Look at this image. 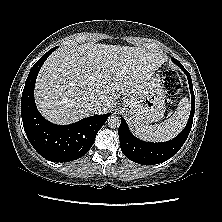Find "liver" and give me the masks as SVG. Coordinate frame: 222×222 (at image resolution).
Instances as JSON below:
<instances>
[{"label": "liver", "mask_w": 222, "mask_h": 222, "mask_svg": "<svg viewBox=\"0 0 222 222\" xmlns=\"http://www.w3.org/2000/svg\"><path fill=\"white\" fill-rule=\"evenodd\" d=\"M167 60L161 53L139 47L85 43L64 46L42 66L35 101L49 121L67 125L94 114L86 102H100L107 112L120 95L133 97Z\"/></svg>", "instance_id": "1"}]
</instances>
